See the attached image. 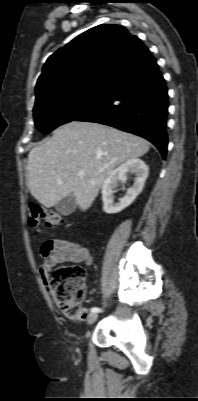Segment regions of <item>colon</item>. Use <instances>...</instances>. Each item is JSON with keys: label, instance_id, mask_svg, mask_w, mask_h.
<instances>
[{"label": "colon", "instance_id": "5ec220e1", "mask_svg": "<svg viewBox=\"0 0 198 401\" xmlns=\"http://www.w3.org/2000/svg\"><path fill=\"white\" fill-rule=\"evenodd\" d=\"M28 224L38 230L41 225L57 228L63 223V215L47 210L37 203L29 205ZM85 269L80 265H68L58 268L49 281V288L54 300L66 317L72 321H83L86 310L82 307L85 299Z\"/></svg>", "mask_w": 198, "mask_h": 401}]
</instances>
